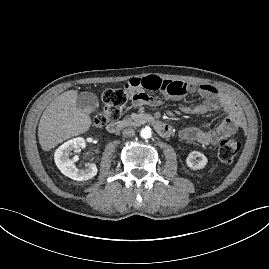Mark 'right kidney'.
I'll return each instance as SVG.
<instances>
[{
    "label": "right kidney",
    "instance_id": "right-kidney-1",
    "mask_svg": "<svg viewBox=\"0 0 269 269\" xmlns=\"http://www.w3.org/2000/svg\"><path fill=\"white\" fill-rule=\"evenodd\" d=\"M85 147V139L77 137L65 142L56 150L54 160L62 174L77 181L88 180L96 176L98 170L95 164L89 163L85 168L78 169L75 165L77 157H70L73 150Z\"/></svg>",
    "mask_w": 269,
    "mask_h": 269
}]
</instances>
